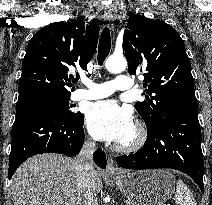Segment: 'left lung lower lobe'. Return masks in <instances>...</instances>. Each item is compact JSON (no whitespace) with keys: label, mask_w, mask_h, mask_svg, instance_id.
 Instances as JSON below:
<instances>
[{"label":"left lung lower lobe","mask_w":212,"mask_h":205,"mask_svg":"<svg viewBox=\"0 0 212 205\" xmlns=\"http://www.w3.org/2000/svg\"><path fill=\"white\" fill-rule=\"evenodd\" d=\"M147 140L135 154L119 156L124 169L172 168L187 173L200 187L203 184V155L198 104H181L147 128Z\"/></svg>","instance_id":"0a47b994"}]
</instances>
